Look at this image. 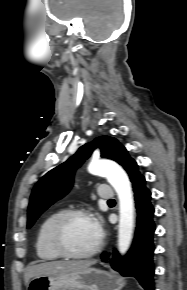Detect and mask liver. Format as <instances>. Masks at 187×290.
Returning <instances> with one entry per match:
<instances>
[{
	"label": "liver",
	"mask_w": 187,
	"mask_h": 290,
	"mask_svg": "<svg viewBox=\"0 0 187 290\" xmlns=\"http://www.w3.org/2000/svg\"><path fill=\"white\" fill-rule=\"evenodd\" d=\"M95 260L85 261H52L31 265L25 273V284L28 285L31 278L47 275L55 272H71L85 269L94 265Z\"/></svg>",
	"instance_id": "6515ba94"
}]
</instances>
